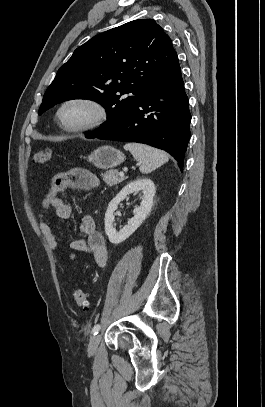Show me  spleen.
Masks as SVG:
<instances>
[{
	"instance_id": "spleen-1",
	"label": "spleen",
	"mask_w": 265,
	"mask_h": 407,
	"mask_svg": "<svg viewBox=\"0 0 265 407\" xmlns=\"http://www.w3.org/2000/svg\"><path fill=\"white\" fill-rule=\"evenodd\" d=\"M124 149L130 151L133 157L139 162L140 171L143 174L152 172L169 159L164 151L144 144L127 143L124 145Z\"/></svg>"
}]
</instances>
